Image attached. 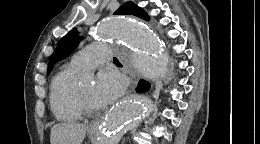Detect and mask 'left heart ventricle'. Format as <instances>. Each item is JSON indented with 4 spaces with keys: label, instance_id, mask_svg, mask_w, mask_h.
Masks as SVG:
<instances>
[{
    "label": "left heart ventricle",
    "instance_id": "b2bd125f",
    "mask_svg": "<svg viewBox=\"0 0 260 144\" xmlns=\"http://www.w3.org/2000/svg\"><path fill=\"white\" fill-rule=\"evenodd\" d=\"M83 93L85 95V97L87 98V100L91 103V105H93L94 107H99L94 98H93V91H94V83L93 82H89V83H84L81 85Z\"/></svg>",
    "mask_w": 260,
    "mask_h": 144
}]
</instances>
